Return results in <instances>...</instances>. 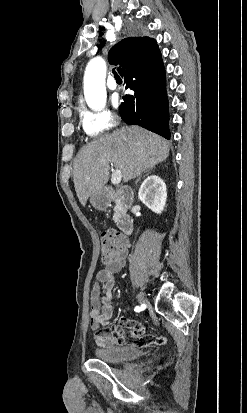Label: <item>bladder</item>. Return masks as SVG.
Listing matches in <instances>:
<instances>
[{
    "label": "bladder",
    "mask_w": 247,
    "mask_h": 413,
    "mask_svg": "<svg viewBox=\"0 0 247 413\" xmlns=\"http://www.w3.org/2000/svg\"><path fill=\"white\" fill-rule=\"evenodd\" d=\"M143 351L139 347L112 346L109 349H96L95 357L107 362H127L140 359Z\"/></svg>",
    "instance_id": "obj_1"
}]
</instances>
